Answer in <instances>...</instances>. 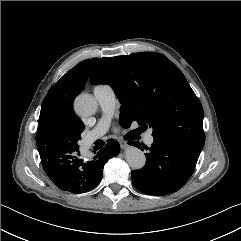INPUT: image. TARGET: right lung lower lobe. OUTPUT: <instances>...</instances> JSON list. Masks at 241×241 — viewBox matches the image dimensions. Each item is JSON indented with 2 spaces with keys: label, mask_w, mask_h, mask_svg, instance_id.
<instances>
[{
  "label": "right lung lower lobe",
  "mask_w": 241,
  "mask_h": 241,
  "mask_svg": "<svg viewBox=\"0 0 241 241\" xmlns=\"http://www.w3.org/2000/svg\"><path fill=\"white\" fill-rule=\"evenodd\" d=\"M38 150L44 171L51 181L62 190L79 194L99 184L104 165L118 155L120 145L116 140H108V144L97 152L93 160L87 162L80 159L79 146H59L56 149L42 146Z\"/></svg>",
  "instance_id": "1"
}]
</instances>
